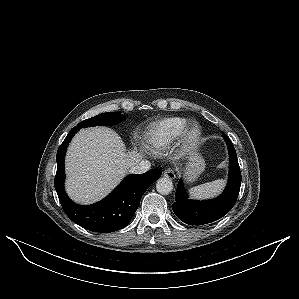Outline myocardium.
<instances>
[{
  "label": "myocardium",
  "mask_w": 299,
  "mask_h": 299,
  "mask_svg": "<svg viewBox=\"0 0 299 299\" xmlns=\"http://www.w3.org/2000/svg\"><path fill=\"white\" fill-rule=\"evenodd\" d=\"M202 137V131L199 124L193 122L185 127L179 136L177 150L181 156L191 154L199 145Z\"/></svg>",
  "instance_id": "obj_1"
}]
</instances>
